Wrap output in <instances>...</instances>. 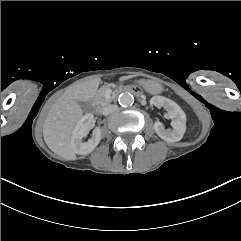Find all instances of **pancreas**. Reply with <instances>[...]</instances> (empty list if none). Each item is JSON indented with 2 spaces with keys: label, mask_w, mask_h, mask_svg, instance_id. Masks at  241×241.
Instances as JSON below:
<instances>
[{
  "label": "pancreas",
  "mask_w": 241,
  "mask_h": 241,
  "mask_svg": "<svg viewBox=\"0 0 241 241\" xmlns=\"http://www.w3.org/2000/svg\"><path fill=\"white\" fill-rule=\"evenodd\" d=\"M97 99H98V101L96 103L99 104V105H102V106H105V105H107L111 102V99H107L105 97L103 89H100L98 91Z\"/></svg>",
  "instance_id": "obj_1"
}]
</instances>
